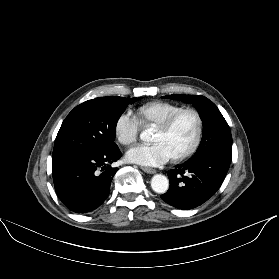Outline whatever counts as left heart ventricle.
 Instances as JSON below:
<instances>
[{"instance_id":"b2bd125f","label":"left heart ventricle","mask_w":279,"mask_h":279,"mask_svg":"<svg viewBox=\"0 0 279 279\" xmlns=\"http://www.w3.org/2000/svg\"><path fill=\"white\" fill-rule=\"evenodd\" d=\"M196 133V120L191 113H184L167 132L155 131L152 142L163 144L171 157L184 152Z\"/></svg>"}]
</instances>
